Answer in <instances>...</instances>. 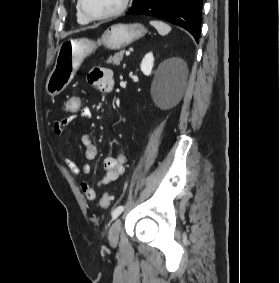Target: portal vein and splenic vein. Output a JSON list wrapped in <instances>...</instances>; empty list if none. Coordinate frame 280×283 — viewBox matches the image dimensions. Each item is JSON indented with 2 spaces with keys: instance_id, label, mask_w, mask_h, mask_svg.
<instances>
[{
  "instance_id": "1",
  "label": "portal vein and splenic vein",
  "mask_w": 280,
  "mask_h": 283,
  "mask_svg": "<svg viewBox=\"0 0 280 283\" xmlns=\"http://www.w3.org/2000/svg\"><path fill=\"white\" fill-rule=\"evenodd\" d=\"M125 54H126V56H129V55H130V51L127 50V51L125 52Z\"/></svg>"
}]
</instances>
